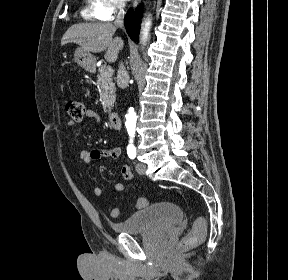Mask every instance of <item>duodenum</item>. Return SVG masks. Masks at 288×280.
Masks as SVG:
<instances>
[{"instance_id": "410a0bca", "label": "duodenum", "mask_w": 288, "mask_h": 280, "mask_svg": "<svg viewBox=\"0 0 288 280\" xmlns=\"http://www.w3.org/2000/svg\"><path fill=\"white\" fill-rule=\"evenodd\" d=\"M108 121H109L110 126L114 130H119L121 128V120H120V116L118 115V113L116 112L110 113L108 117Z\"/></svg>"}]
</instances>
